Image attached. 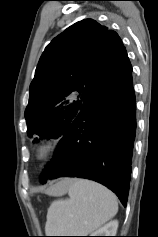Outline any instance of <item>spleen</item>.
I'll use <instances>...</instances> for the list:
<instances>
[{"instance_id": "obj_1", "label": "spleen", "mask_w": 158, "mask_h": 237, "mask_svg": "<svg viewBox=\"0 0 158 237\" xmlns=\"http://www.w3.org/2000/svg\"><path fill=\"white\" fill-rule=\"evenodd\" d=\"M68 199L52 202L47 212V236H87L113 218L118 211L115 194L96 182L74 179Z\"/></svg>"}]
</instances>
